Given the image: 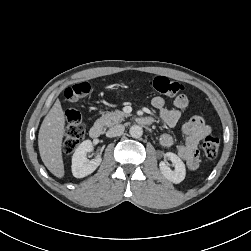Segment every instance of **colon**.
<instances>
[{
  "mask_svg": "<svg viewBox=\"0 0 251 251\" xmlns=\"http://www.w3.org/2000/svg\"><path fill=\"white\" fill-rule=\"evenodd\" d=\"M147 86L151 90L166 95L175 96L182 92L185 87L180 82L171 80L165 76H156L147 81ZM90 92V85L86 82L75 84L67 88L64 97L69 102H77L84 99ZM85 129L81 115L76 110L66 112V126L63 140V151L71 154L78 147L84 138ZM220 142L217 137L207 136L202 143V150L208 159H214L218 155Z\"/></svg>",
  "mask_w": 251,
  "mask_h": 251,
  "instance_id": "obj_1",
  "label": "colon"
}]
</instances>
